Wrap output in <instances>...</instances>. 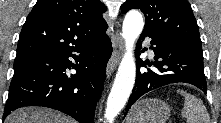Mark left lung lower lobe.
<instances>
[{"label": "left lung lower lobe", "instance_id": "1", "mask_svg": "<svg viewBox=\"0 0 221 123\" xmlns=\"http://www.w3.org/2000/svg\"><path fill=\"white\" fill-rule=\"evenodd\" d=\"M150 37L151 49L155 53L153 63L138 58L137 77L130 95L126 113L142 95L165 85L177 82L193 84L206 93L207 86L203 68L202 49L177 45L143 31L140 39ZM141 43V42H140ZM141 45L137 44L136 55H140ZM153 69L140 70V67Z\"/></svg>", "mask_w": 221, "mask_h": 123}]
</instances>
